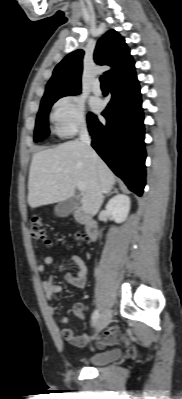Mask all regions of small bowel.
<instances>
[{
    "label": "small bowel",
    "instance_id": "small-bowel-1",
    "mask_svg": "<svg viewBox=\"0 0 182 399\" xmlns=\"http://www.w3.org/2000/svg\"><path fill=\"white\" fill-rule=\"evenodd\" d=\"M69 259L77 267L76 273H67L65 276L66 281L76 287L84 288L86 285V274L87 266L84 260L77 254H58V255H47L43 259V263L38 265V271L44 273L46 266L54 264L57 260ZM42 288L46 300L50 303L49 312L54 315L57 311V306L52 303L55 294H61L63 287L55 282V277L50 276L48 279L42 281ZM84 306L81 303H77L73 307V312L80 318L84 317ZM58 325L62 326L61 335L71 345L78 347H87L89 345V337L86 334L75 335L73 330L68 328L67 325L69 320L66 316H62L57 321ZM119 339V331L115 327H110L104 331L102 337L97 340V346L103 349L111 344H114Z\"/></svg>",
    "mask_w": 182,
    "mask_h": 399
}]
</instances>
